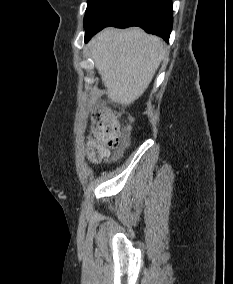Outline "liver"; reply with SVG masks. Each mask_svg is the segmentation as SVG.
<instances>
[{
    "label": "liver",
    "instance_id": "1",
    "mask_svg": "<svg viewBox=\"0 0 233 284\" xmlns=\"http://www.w3.org/2000/svg\"><path fill=\"white\" fill-rule=\"evenodd\" d=\"M89 49L108 99L123 107L144 93L165 55L163 40L137 27L104 29Z\"/></svg>",
    "mask_w": 233,
    "mask_h": 284
}]
</instances>
